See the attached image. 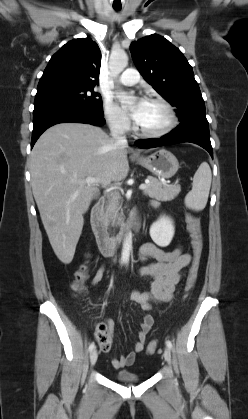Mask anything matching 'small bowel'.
Segmentation results:
<instances>
[{"mask_svg":"<svg viewBox=\"0 0 248 419\" xmlns=\"http://www.w3.org/2000/svg\"><path fill=\"white\" fill-rule=\"evenodd\" d=\"M153 206L156 203L153 202ZM139 258L143 262L139 269L140 276H149L152 278L151 289L148 292L133 290L130 293V299L140 305L142 309L149 310L155 302L169 301L182 277L184 270L191 262V255L185 253L177 247L172 250H166L153 243H145L140 247ZM152 260V261H150ZM105 273V268L100 267L91 280L92 285L98 284ZM112 325L111 322H108ZM154 323L152 315H145L140 325V331L137 335V342L134 344L133 351L125 356L116 357L112 360V366L116 369L131 366L134 364L136 355L143 351L147 334ZM111 329V328H110ZM112 345V337L107 343L99 344L102 353H109Z\"/></svg>","mask_w":248,"mask_h":419,"instance_id":"small-bowel-1","label":"small bowel"}]
</instances>
